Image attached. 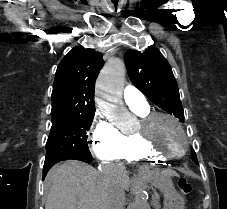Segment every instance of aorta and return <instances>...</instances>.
<instances>
[{"label": "aorta", "instance_id": "1", "mask_svg": "<svg viewBox=\"0 0 227 209\" xmlns=\"http://www.w3.org/2000/svg\"><path fill=\"white\" fill-rule=\"evenodd\" d=\"M125 81V65L117 58L110 59L96 83L97 104L102 113L109 119L126 114L122 105V91ZM134 201L129 209H149L148 196L144 187L134 183L132 185Z\"/></svg>", "mask_w": 227, "mask_h": 209}]
</instances>
